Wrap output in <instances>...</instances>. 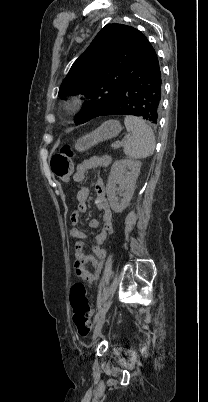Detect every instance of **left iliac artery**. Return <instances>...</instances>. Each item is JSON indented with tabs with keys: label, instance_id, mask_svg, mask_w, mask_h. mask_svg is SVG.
Returning a JSON list of instances; mask_svg holds the SVG:
<instances>
[{
	"label": "left iliac artery",
	"instance_id": "1",
	"mask_svg": "<svg viewBox=\"0 0 208 402\" xmlns=\"http://www.w3.org/2000/svg\"><path fill=\"white\" fill-rule=\"evenodd\" d=\"M98 318H99V313H97V314L95 315V317H94V323L98 320Z\"/></svg>",
	"mask_w": 208,
	"mask_h": 402
}]
</instances>
